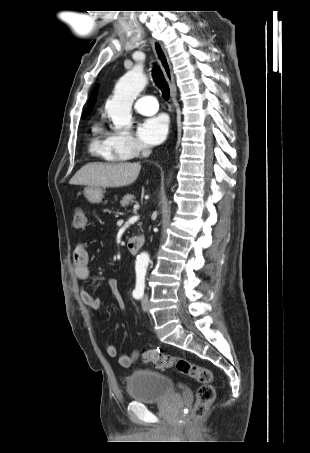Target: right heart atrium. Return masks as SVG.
<instances>
[{
    "label": "right heart atrium",
    "instance_id": "1",
    "mask_svg": "<svg viewBox=\"0 0 310 453\" xmlns=\"http://www.w3.org/2000/svg\"><path fill=\"white\" fill-rule=\"evenodd\" d=\"M111 149L124 158L138 155L145 146L129 131H118L107 134Z\"/></svg>",
    "mask_w": 310,
    "mask_h": 453
}]
</instances>
